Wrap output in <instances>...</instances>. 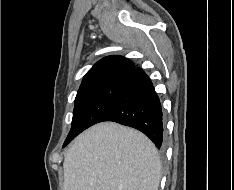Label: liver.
<instances>
[{"mask_svg": "<svg viewBox=\"0 0 234 190\" xmlns=\"http://www.w3.org/2000/svg\"><path fill=\"white\" fill-rule=\"evenodd\" d=\"M63 168L64 190H158L161 179L155 145L114 122L94 125L75 138Z\"/></svg>", "mask_w": 234, "mask_h": 190, "instance_id": "1", "label": "liver"}]
</instances>
